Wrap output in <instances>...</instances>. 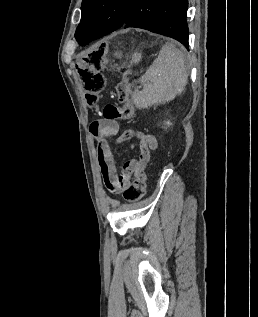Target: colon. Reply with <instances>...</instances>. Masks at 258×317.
<instances>
[{
    "label": "colon",
    "instance_id": "5ec220e1",
    "mask_svg": "<svg viewBox=\"0 0 258 317\" xmlns=\"http://www.w3.org/2000/svg\"><path fill=\"white\" fill-rule=\"evenodd\" d=\"M106 62V52L103 48H94L81 55L76 63V70L83 83L88 104L98 102L104 89L105 79L101 73ZM119 104H107L103 109V119L130 120L135 114V106L130 97V90L124 83L117 86ZM146 191V177L138 175L124 190V197L129 201L142 199Z\"/></svg>",
    "mask_w": 258,
    "mask_h": 317
}]
</instances>
